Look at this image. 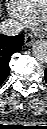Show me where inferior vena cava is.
<instances>
[{
    "mask_svg": "<svg viewBox=\"0 0 47 129\" xmlns=\"http://www.w3.org/2000/svg\"><path fill=\"white\" fill-rule=\"evenodd\" d=\"M22 28L21 23L13 19H7L0 24V32L8 36L18 35Z\"/></svg>",
    "mask_w": 47,
    "mask_h": 129,
    "instance_id": "1",
    "label": "inferior vena cava"
}]
</instances>
